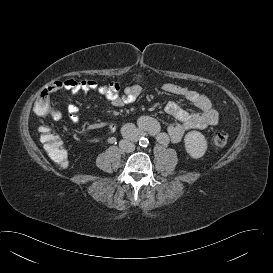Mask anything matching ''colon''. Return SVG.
Segmentation results:
<instances>
[{"instance_id": "1", "label": "colon", "mask_w": 273, "mask_h": 273, "mask_svg": "<svg viewBox=\"0 0 273 273\" xmlns=\"http://www.w3.org/2000/svg\"><path fill=\"white\" fill-rule=\"evenodd\" d=\"M62 84H63L62 82L53 84L42 91L41 97L39 98L36 104V112L39 115L51 114L55 116V112L53 111L49 103L48 95L55 88L61 87ZM41 141L43 142L45 149L53 159L57 160L58 162H61L62 164H66V152L62 148V143L58 136L50 132L49 128L41 129ZM227 141L228 137L224 133H218L214 137V143L218 147H224L227 144Z\"/></svg>"}]
</instances>
